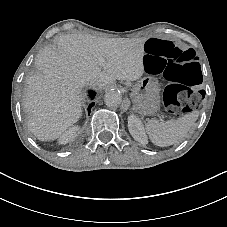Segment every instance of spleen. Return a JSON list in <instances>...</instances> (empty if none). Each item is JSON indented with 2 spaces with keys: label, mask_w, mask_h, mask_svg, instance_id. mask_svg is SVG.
<instances>
[{
  "label": "spleen",
  "mask_w": 227,
  "mask_h": 227,
  "mask_svg": "<svg viewBox=\"0 0 227 227\" xmlns=\"http://www.w3.org/2000/svg\"><path fill=\"white\" fill-rule=\"evenodd\" d=\"M198 116L199 112L193 111L181 118L171 119L166 122L151 119L146 124V131L155 145L160 147L170 146L182 141Z\"/></svg>",
  "instance_id": "obj_1"
}]
</instances>
